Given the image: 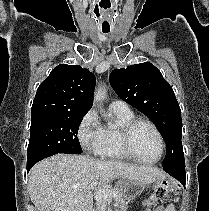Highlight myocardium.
Wrapping results in <instances>:
<instances>
[{"label": "myocardium", "mask_w": 209, "mask_h": 211, "mask_svg": "<svg viewBox=\"0 0 209 211\" xmlns=\"http://www.w3.org/2000/svg\"><path fill=\"white\" fill-rule=\"evenodd\" d=\"M141 124L150 126L156 133L159 143H160L159 156L153 161H144V160L140 159L132 149L133 134H134L136 128ZM121 145H122L123 151L130 159L134 160L135 162H137L139 164L147 165V166L155 165L158 162H160L164 156L165 148H166L164 137H163L161 131L159 130V128L157 127V125L154 122H152L151 120H148L145 118H134L131 121L127 122L122 127V129H121Z\"/></svg>", "instance_id": "obj_1"}]
</instances>
